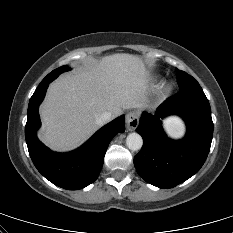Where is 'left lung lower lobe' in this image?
<instances>
[{
    "label": "left lung lower lobe",
    "mask_w": 233,
    "mask_h": 233,
    "mask_svg": "<svg viewBox=\"0 0 233 233\" xmlns=\"http://www.w3.org/2000/svg\"><path fill=\"white\" fill-rule=\"evenodd\" d=\"M173 114L187 125L186 136L179 141L166 136L160 120ZM136 131L143 138L134 157L138 174L156 187H175L197 173L209 153L213 136L209 101L203 90L180 91L162 103L156 115L144 113Z\"/></svg>",
    "instance_id": "0a47b994"
}]
</instances>
